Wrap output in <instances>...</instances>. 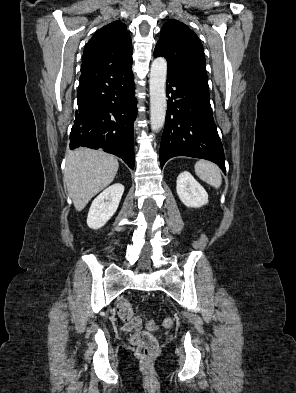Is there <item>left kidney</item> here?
Returning a JSON list of instances; mask_svg holds the SVG:
<instances>
[{
	"label": "left kidney",
	"mask_w": 296,
	"mask_h": 393,
	"mask_svg": "<svg viewBox=\"0 0 296 393\" xmlns=\"http://www.w3.org/2000/svg\"><path fill=\"white\" fill-rule=\"evenodd\" d=\"M176 190L181 202L187 207L200 208L208 203L207 192L188 171L178 175Z\"/></svg>",
	"instance_id": "obj_1"
}]
</instances>
